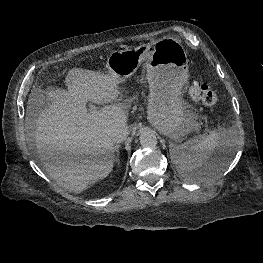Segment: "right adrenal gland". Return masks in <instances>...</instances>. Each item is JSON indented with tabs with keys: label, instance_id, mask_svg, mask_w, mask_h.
I'll list each match as a JSON object with an SVG mask.
<instances>
[{
	"label": "right adrenal gland",
	"instance_id": "right-adrenal-gland-1",
	"mask_svg": "<svg viewBox=\"0 0 263 263\" xmlns=\"http://www.w3.org/2000/svg\"><path fill=\"white\" fill-rule=\"evenodd\" d=\"M119 148H120V145H116V146H115V151H116V153H117V157H116V159H115V162L118 163V164H120Z\"/></svg>",
	"mask_w": 263,
	"mask_h": 263
}]
</instances>
